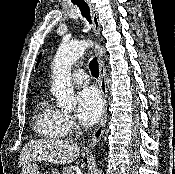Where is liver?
<instances>
[{
  "mask_svg": "<svg viewBox=\"0 0 175 174\" xmlns=\"http://www.w3.org/2000/svg\"><path fill=\"white\" fill-rule=\"evenodd\" d=\"M79 153L80 147L73 141H29L22 148L19 165L24 166L35 161H48L50 163L65 165L75 161Z\"/></svg>",
  "mask_w": 175,
  "mask_h": 174,
  "instance_id": "1",
  "label": "liver"
}]
</instances>
